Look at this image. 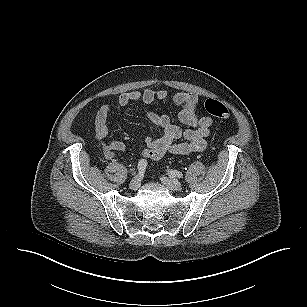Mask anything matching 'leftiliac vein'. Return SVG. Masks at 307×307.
<instances>
[{
    "label": "left iliac vein",
    "mask_w": 307,
    "mask_h": 307,
    "mask_svg": "<svg viewBox=\"0 0 307 307\" xmlns=\"http://www.w3.org/2000/svg\"><path fill=\"white\" fill-rule=\"evenodd\" d=\"M161 182L172 191H181L183 188L182 184L175 179H169L163 176L161 177Z\"/></svg>",
    "instance_id": "obj_1"
}]
</instances>
